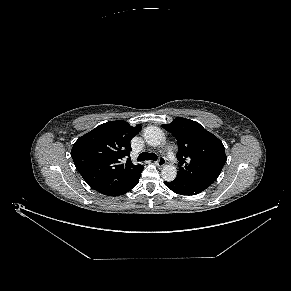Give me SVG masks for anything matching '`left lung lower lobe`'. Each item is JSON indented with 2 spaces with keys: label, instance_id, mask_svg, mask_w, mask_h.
<instances>
[{
  "label": "left lung lower lobe",
  "instance_id": "obj_1",
  "mask_svg": "<svg viewBox=\"0 0 291 291\" xmlns=\"http://www.w3.org/2000/svg\"><path fill=\"white\" fill-rule=\"evenodd\" d=\"M213 182V180L190 181L177 177L173 181L165 182V185L177 194L196 195L204 191Z\"/></svg>",
  "mask_w": 291,
  "mask_h": 291
}]
</instances>
